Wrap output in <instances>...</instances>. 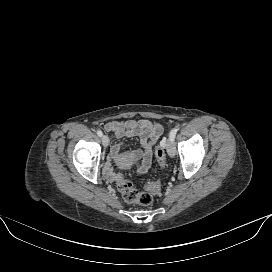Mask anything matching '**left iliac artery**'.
Listing matches in <instances>:
<instances>
[{
	"label": "left iliac artery",
	"mask_w": 272,
	"mask_h": 272,
	"mask_svg": "<svg viewBox=\"0 0 272 272\" xmlns=\"http://www.w3.org/2000/svg\"><path fill=\"white\" fill-rule=\"evenodd\" d=\"M177 131H178V128H173V129L171 130L170 136H169L171 140L174 141L175 136H176V134H177Z\"/></svg>",
	"instance_id": "left-iliac-artery-1"
}]
</instances>
